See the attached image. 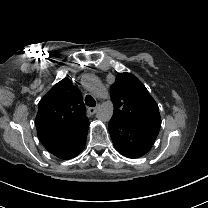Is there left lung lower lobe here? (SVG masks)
Instances as JSON below:
<instances>
[{
    "label": "left lung lower lobe",
    "mask_w": 208,
    "mask_h": 208,
    "mask_svg": "<svg viewBox=\"0 0 208 208\" xmlns=\"http://www.w3.org/2000/svg\"><path fill=\"white\" fill-rule=\"evenodd\" d=\"M108 128L115 149L127 158H139L153 146L145 136L122 121L112 118Z\"/></svg>",
    "instance_id": "obj_1"
}]
</instances>
